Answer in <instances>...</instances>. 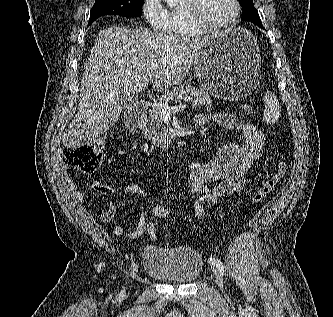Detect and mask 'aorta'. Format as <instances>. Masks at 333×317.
Here are the masks:
<instances>
[{
  "mask_svg": "<svg viewBox=\"0 0 333 317\" xmlns=\"http://www.w3.org/2000/svg\"><path fill=\"white\" fill-rule=\"evenodd\" d=\"M168 5L174 6L179 0H164Z\"/></svg>",
  "mask_w": 333,
  "mask_h": 317,
  "instance_id": "obj_1",
  "label": "aorta"
}]
</instances>
